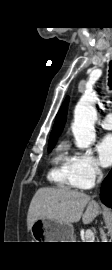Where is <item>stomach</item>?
I'll return each instance as SVG.
<instances>
[{"instance_id":"1","label":"stomach","mask_w":112,"mask_h":270,"mask_svg":"<svg viewBox=\"0 0 112 270\" xmlns=\"http://www.w3.org/2000/svg\"><path fill=\"white\" fill-rule=\"evenodd\" d=\"M30 232L35 242H73L74 240L73 225L54 220H36Z\"/></svg>"}]
</instances>
